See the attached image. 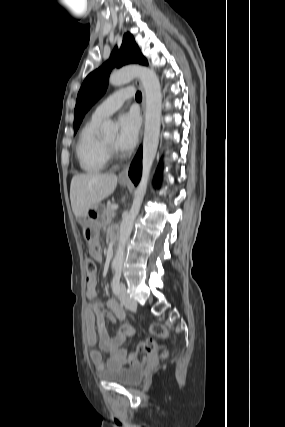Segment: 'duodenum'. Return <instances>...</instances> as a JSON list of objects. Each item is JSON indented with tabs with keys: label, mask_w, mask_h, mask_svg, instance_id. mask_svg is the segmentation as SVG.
Masks as SVG:
<instances>
[{
	"label": "duodenum",
	"mask_w": 285,
	"mask_h": 427,
	"mask_svg": "<svg viewBox=\"0 0 285 427\" xmlns=\"http://www.w3.org/2000/svg\"><path fill=\"white\" fill-rule=\"evenodd\" d=\"M118 241V235L116 233H111L110 235V248H112Z\"/></svg>",
	"instance_id": "duodenum-1"
}]
</instances>
